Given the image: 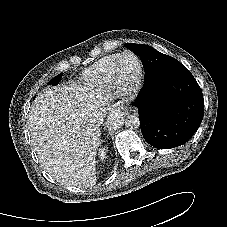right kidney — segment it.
Listing matches in <instances>:
<instances>
[{"instance_id":"1","label":"right kidney","mask_w":227,"mask_h":227,"mask_svg":"<svg viewBox=\"0 0 227 227\" xmlns=\"http://www.w3.org/2000/svg\"><path fill=\"white\" fill-rule=\"evenodd\" d=\"M99 158L101 160H104L106 158V153H105V149L104 148L99 150Z\"/></svg>"}]
</instances>
